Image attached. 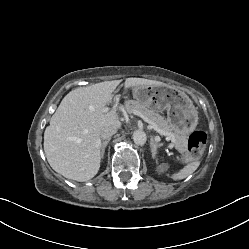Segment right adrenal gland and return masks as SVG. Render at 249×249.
Wrapping results in <instances>:
<instances>
[{"label":"right adrenal gland","instance_id":"2a0ac1e0","mask_svg":"<svg viewBox=\"0 0 249 249\" xmlns=\"http://www.w3.org/2000/svg\"><path fill=\"white\" fill-rule=\"evenodd\" d=\"M108 142H109V139H108V140H105V141L102 142V144H101V158L104 157L105 147H106V145L108 144Z\"/></svg>","mask_w":249,"mask_h":249}]
</instances>
